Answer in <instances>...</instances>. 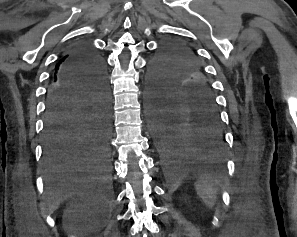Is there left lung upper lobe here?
Masks as SVG:
<instances>
[{
	"label": "left lung upper lobe",
	"instance_id": "1",
	"mask_svg": "<svg viewBox=\"0 0 297 237\" xmlns=\"http://www.w3.org/2000/svg\"><path fill=\"white\" fill-rule=\"evenodd\" d=\"M148 98L185 105L195 101L216 104L212 87L194 54L178 44H166L147 75Z\"/></svg>",
	"mask_w": 297,
	"mask_h": 237
}]
</instances>
